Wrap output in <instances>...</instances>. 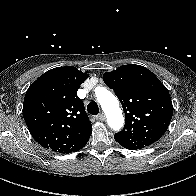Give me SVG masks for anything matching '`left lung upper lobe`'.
<instances>
[{"label":"left lung upper lobe","instance_id":"1","mask_svg":"<svg viewBox=\"0 0 196 196\" xmlns=\"http://www.w3.org/2000/svg\"><path fill=\"white\" fill-rule=\"evenodd\" d=\"M105 84L114 90L125 113V126L114 135L126 149L148 146L166 132L173 115L167 88L147 68L124 65L103 75Z\"/></svg>","mask_w":196,"mask_h":196}]
</instances>
